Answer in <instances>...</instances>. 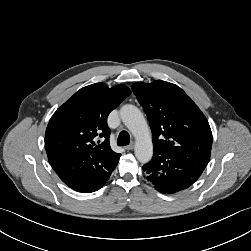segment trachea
<instances>
[{"label":"trachea","instance_id":"1","mask_svg":"<svg viewBox=\"0 0 251 251\" xmlns=\"http://www.w3.org/2000/svg\"><path fill=\"white\" fill-rule=\"evenodd\" d=\"M129 143H130L129 133L127 131H121L117 139L118 146H126Z\"/></svg>","mask_w":251,"mask_h":251}]
</instances>
